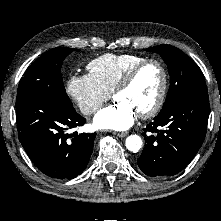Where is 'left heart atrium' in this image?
Wrapping results in <instances>:
<instances>
[{"label": "left heart atrium", "mask_w": 221, "mask_h": 221, "mask_svg": "<svg viewBox=\"0 0 221 221\" xmlns=\"http://www.w3.org/2000/svg\"><path fill=\"white\" fill-rule=\"evenodd\" d=\"M137 113L122 101L102 109L94 117V125L99 129L126 130L131 127Z\"/></svg>", "instance_id": "left-heart-atrium-1"}]
</instances>
